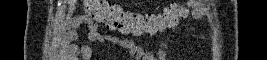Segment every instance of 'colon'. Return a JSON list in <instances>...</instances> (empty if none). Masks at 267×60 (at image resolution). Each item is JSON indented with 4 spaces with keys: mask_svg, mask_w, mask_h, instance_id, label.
<instances>
[{
    "mask_svg": "<svg viewBox=\"0 0 267 60\" xmlns=\"http://www.w3.org/2000/svg\"><path fill=\"white\" fill-rule=\"evenodd\" d=\"M85 15L122 33L156 34L174 26L181 17L180 7L173 6L158 14H133L102 0H84Z\"/></svg>",
    "mask_w": 267,
    "mask_h": 60,
    "instance_id": "5ec220e1",
    "label": "colon"
}]
</instances>
